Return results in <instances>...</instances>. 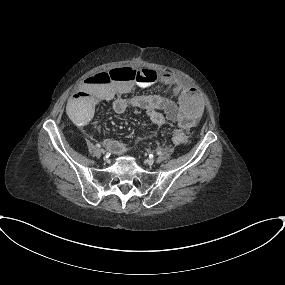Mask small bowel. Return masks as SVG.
<instances>
[{"mask_svg":"<svg viewBox=\"0 0 285 285\" xmlns=\"http://www.w3.org/2000/svg\"><path fill=\"white\" fill-rule=\"evenodd\" d=\"M124 68L127 67L102 70L89 77L81 89L76 91L66 103V112L70 119L76 125L84 126L92 119L97 102L99 100L109 101L115 113L123 114L131 109H137L145 112L157 127L165 125L167 120L174 122L176 124L172 132L174 143H186L189 140V130L198 123L203 113L201 102L189 84L183 78L169 72L157 74L155 82L130 83L110 76L112 70ZM100 75H105L110 82L107 84L100 82L98 78ZM142 76L145 77L144 74ZM150 85H156L174 94L177 101L174 102L157 94L125 97L136 88ZM179 134L186 137L185 142L179 141ZM103 143L115 154H123L128 149V144L122 141L104 139Z\"/></svg>","mask_w":285,"mask_h":285,"instance_id":"1","label":"small bowel"}]
</instances>
